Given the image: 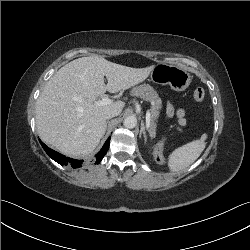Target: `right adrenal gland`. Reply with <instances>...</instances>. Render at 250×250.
Listing matches in <instances>:
<instances>
[{"instance_id":"right-adrenal-gland-1","label":"right adrenal gland","mask_w":250,"mask_h":250,"mask_svg":"<svg viewBox=\"0 0 250 250\" xmlns=\"http://www.w3.org/2000/svg\"><path fill=\"white\" fill-rule=\"evenodd\" d=\"M107 124H108V121L106 122V125H105V131H106V129H107Z\"/></svg>"}]
</instances>
